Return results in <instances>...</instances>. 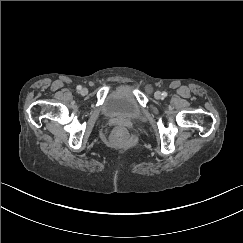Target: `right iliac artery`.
<instances>
[{
  "label": "right iliac artery",
  "mask_w": 243,
  "mask_h": 243,
  "mask_svg": "<svg viewBox=\"0 0 243 243\" xmlns=\"http://www.w3.org/2000/svg\"><path fill=\"white\" fill-rule=\"evenodd\" d=\"M81 88H82V87H81L80 85L77 86V90H81Z\"/></svg>",
  "instance_id": "82829eb1"
}]
</instances>
